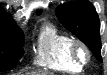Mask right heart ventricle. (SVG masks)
Returning a JSON list of instances; mask_svg holds the SVG:
<instances>
[{
  "label": "right heart ventricle",
  "mask_w": 107,
  "mask_h": 75,
  "mask_svg": "<svg viewBox=\"0 0 107 75\" xmlns=\"http://www.w3.org/2000/svg\"><path fill=\"white\" fill-rule=\"evenodd\" d=\"M74 39L53 25H46L40 32L35 63L41 67L68 72H79L82 66L71 56Z\"/></svg>",
  "instance_id": "e07e8e85"
}]
</instances>
